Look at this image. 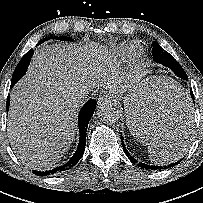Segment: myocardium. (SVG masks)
<instances>
[{
	"instance_id": "f54148a6",
	"label": "myocardium",
	"mask_w": 203,
	"mask_h": 203,
	"mask_svg": "<svg viewBox=\"0 0 203 203\" xmlns=\"http://www.w3.org/2000/svg\"><path fill=\"white\" fill-rule=\"evenodd\" d=\"M143 53L138 45H132V50L130 52L131 64H137L142 59Z\"/></svg>"
}]
</instances>
